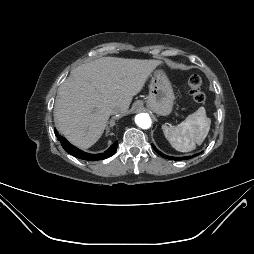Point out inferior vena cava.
<instances>
[{"label": "inferior vena cava", "mask_w": 254, "mask_h": 254, "mask_svg": "<svg viewBox=\"0 0 254 254\" xmlns=\"http://www.w3.org/2000/svg\"><path fill=\"white\" fill-rule=\"evenodd\" d=\"M121 112V109L119 107H114L111 109V114H118Z\"/></svg>", "instance_id": "602c4592"}]
</instances>
